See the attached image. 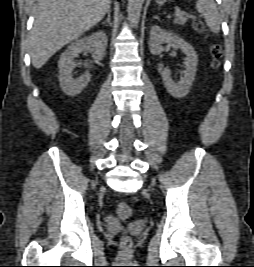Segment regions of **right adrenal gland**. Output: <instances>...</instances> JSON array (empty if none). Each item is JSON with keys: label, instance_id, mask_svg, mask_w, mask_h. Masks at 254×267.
I'll list each match as a JSON object with an SVG mask.
<instances>
[{"label": "right adrenal gland", "instance_id": "obj_1", "mask_svg": "<svg viewBox=\"0 0 254 267\" xmlns=\"http://www.w3.org/2000/svg\"><path fill=\"white\" fill-rule=\"evenodd\" d=\"M106 22L111 25V10L107 12V19L104 20L102 23L105 24Z\"/></svg>", "mask_w": 254, "mask_h": 267}]
</instances>
